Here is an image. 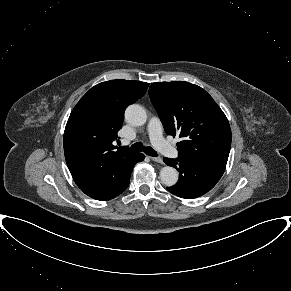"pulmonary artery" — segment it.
I'll list each match as a JSON object with an SVG mask.
<instances>
[{
	"instance_id": "pulmonary-artery-1",
	"label": "pulmonary artery",
	"mask_w": 291,
	"mask_h": 291,
	"mask_svg": "<svg viewBox=\"0 0 291 291\" xmlns=\"http://www.w3.org/2000/svg\"><path fill=\"white\" fill-rule=\"evenodd\" d=\"M147 128L153 146L161 154L169 158H175L178 156L177 149L164 139L162 134V124L158 117H151Z\"/></svg>"
}]
</instances>
